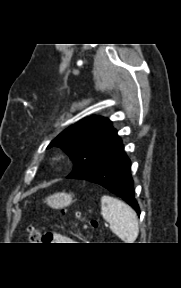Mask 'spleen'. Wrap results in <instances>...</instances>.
I'll list each match as a JSON object with an SVG mask.
<instances>
[{
  "mask_svg": "<svg viewBox=\"0 0 181 288\" xmlns=\"http://www.w3.org/2000/svg\"><path fill=\"white\" fill-rule=\"evenodd\" d=\"M101 214L110 223V229L125 243H134L139 227L136 213L124 202L103 195L101 198Z\"/></svg>",
  "mask_w": 181,
  "mask_h": 288,
  "instance_id": "obj_1",
  "label": "spleen"
}]
</instances>
